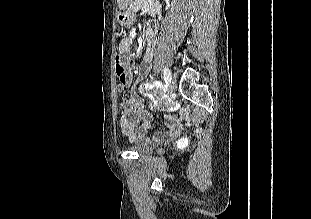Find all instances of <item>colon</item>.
Wrapping results in <instances>:
<instances>
[{
    "label": "colon",
    "instance_id": "1",
    "mask_svg": "<svg viewBox=\"0 0 311 219\" xmlns=\"http://www.w3.org/2000/svg\"><path fill=\"white\" fill-rule=\"evenodd\" d=\"M131 60L126 55H120L116 57V74L118 77V83L120 90H124L127 86L126 73L130 70ZM148 88L143 87L142 92L147 93Z\"/></svg>",
    "mask_w": 311,
    "mask_h": 219
}]
</instances>
